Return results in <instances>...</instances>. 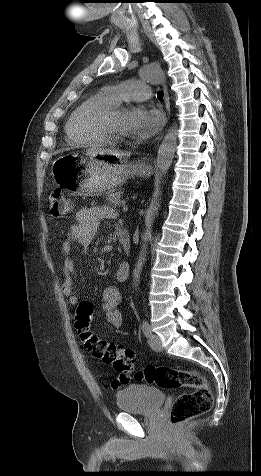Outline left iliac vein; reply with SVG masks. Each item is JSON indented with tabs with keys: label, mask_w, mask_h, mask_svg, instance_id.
<instances>
[{
	"label": "left iliac vein",
	"mask_w": 261,
	"mask_h": 476,
	"mask_svg": "<svg viewBox=\"0 0 261 476\" xmlns=\"http://www.w3.org/2000/svg\"><path fill=\"white\" fill-rule=\"evenodd\" d=\"M148 343L154 351L159 352L162 350V342L160 337L152 332H150L148 335Z\"/></svg>",
	"instance_id": "left-iliac-vein-1"
}]
</instances>
